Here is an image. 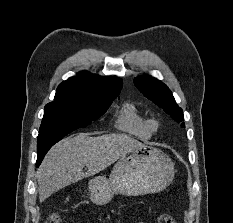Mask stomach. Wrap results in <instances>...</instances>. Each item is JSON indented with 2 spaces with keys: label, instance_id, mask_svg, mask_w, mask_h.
Segmentation results:
<instances>
[{
  "label": "stomach",
  "instance_id": "obj_1",
  "mask_svg": "<svg viewBox=\"0 0 233 223\" xmlns=\"http://www.w3.org/2000/svg\"><path fill=\"white\" fill-rule=\"evenodd\" d=\"M175 169L173 161L163 151L140 143L123 153L111 169L109 177L96 175L88 181L86 197L96 205L109 203L115 193L147 195L158 193L171 183Z\"/></svg>",
  "mask_w": 233,
  "mask_h": 223
}]
</instances>
